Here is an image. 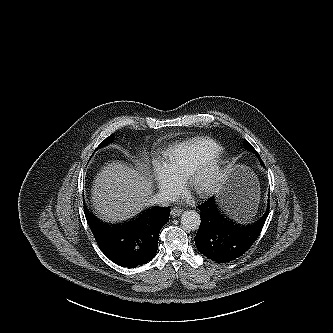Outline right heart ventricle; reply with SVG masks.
<instances>
[{"instance_id": "obj_1", "label": "right heart ventricle", "mask_w": 333, "mask_h": 333, "mask_svg": "<svg viewBox=\"0 0 333 333\" xmlns=\"http://www.w3.org/2000/svg\"><path fill=\"white\" fill-rule=\"evenodd\" d=\"M223 147L210 137H194L169 146L163 156L179 178H185L201 162L221 154Z\"/></svg>"}]
</instances>
